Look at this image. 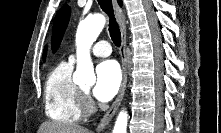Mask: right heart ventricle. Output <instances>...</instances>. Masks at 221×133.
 Returning <instances> with one entry per match:
<instances>
[{
	"label": "right heart ventricle",
	"mask_w": 221,
	"mask_h": 133,
	"mask_svg": "<svg viewBox=\"0 0 221 133\" xmlns=\"http://www.w3.org/2000/svg\"><path fill=\"white\" fill-rule=\"evenodd\" d=\"M73 62L62 61L49 73L44 87L45 113L59 124L73 125L82 117L80 88L72 79Z\"/></svg>",
	"instance_id": "right-heart-ventricle-1"
}]
</instances>
